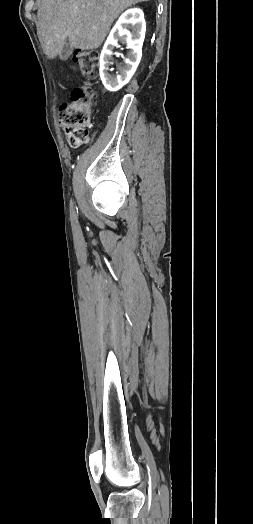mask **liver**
Masks as SVG:
<instances>
[{
    "label": "liver",
    "mask_w": 253,
    "mask_h": 524,
    "mask_svg": "<svg viewBox=\"0 0 253 524\" xmlns=\"http://www.w3.org/2000/svg\"><path fill=\"white\" fill-rule=\"evenodd\" d=\"M149 0H40L38 27L48 58H55L66 41L73 48L97 49L113 21L126 8Z\"/></svg>",
    "instance_id": "6515ba94"
}]
</instances>
